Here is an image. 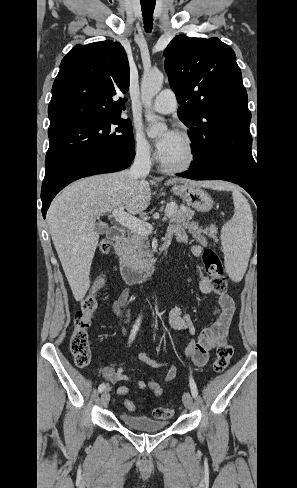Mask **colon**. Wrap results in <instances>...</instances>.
<instances>
[{
	"label": "colon",
	"mask_w": 297,
	"mask_h": 488,
	"mask_svg": "<svg viewBox=\"0 0 297 488\" xmlns=\"http://www.w3.org/2000/svg\"><path fill=\"white\" fill-rule=\"evenodd\" d=\"M111 244L107 241L99 245L102 254L110 251ZM203 262L205 271L210 278L213 291L223 294L227 290V279L224 275V268L218 255L211 249L203 252ZM103 284V278L97 277L90 293L81 301L79 309L74 315V330L70 340V349L78 367H86L90 362V335L89 327L92 322L94 312L97 308V291ZM233 354L230 344L224 343L217 348L216 358L213 364L215 372H223L229 365ZM125 406L130 410H135V405L129 399L124 400ZM174 415V409L157 407L153 411V416L159 420H166Z\"/></svg>",
	"instance_id": "5ec220e1"
}]
</instances>
